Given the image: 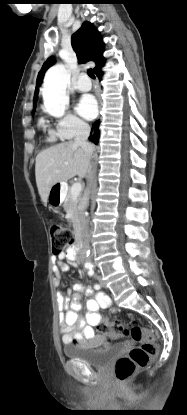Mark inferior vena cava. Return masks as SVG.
<instances>
[{
	"mask_svg": "<svg viewBox=\"0 0 187 415\" xmlns=\"http://www.w3.org/2000/svg\"><path fill=\"white\" fill-rule=\"evenodd\" d=\"M90 135V126L87 123L80 122L77 126V132L74 139V143L76 145H79L82 147V149L85 151V153L90 157L94 147L91 143L88 142V137ZM89 178L91 177V170L88 171ZM88 195H89V189L86 190L84 193L80 206H79V218L81 222V228H82V235H81V241H82V248L78 252V256H85L87 250L89 249V242H90V234H89V226H88V220L85 215V210L88 206Z\"/></svg>",
	"mask_w": 187,
	"mask_h": 415,
	"instance_id": "1",
	"label": "inferior vena cava"
}]
</instances>
